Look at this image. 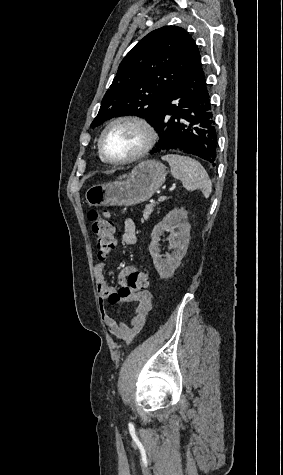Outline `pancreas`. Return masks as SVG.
<instances>
[{
    "instance_id": "1",
    "label": "pancreas",
    "mask_w": 283,
    "mask_h": 475,
    "mask_svg": "<svg viewBox=\"0 0 283 475\" xmlns=\"http://www.w3.org/2000/svg\"><path fill=\"white\" fill-rule=\"evenodd\" d=\"M165 200H168V198H165ZM156 204L158 202H155V204H147L145 210H143V218H141V222H144V220H148L149 216H151L153 212V208H155Z\"/></svg>"
}]
</instances>
